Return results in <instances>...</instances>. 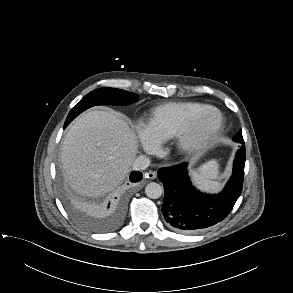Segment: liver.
Instances as JSON below:
<instances>
[{
    "label": "liver",
    "instance_id": "1",
    "mask_svg": "<svg viewBox=\"0 0 293 293\" xmlns=\"http://www.w3.org/2000/svg\"><path fill=\"white\" fill-rule=\"evenodd\" d=\"M137 151V137L122 116L93 110L80 116L68 130L61 162L70 187L96 197L125 179Z\"/></svg>",
    "mask_w": 293,
    "mask_h": 293
}]
</instances>
